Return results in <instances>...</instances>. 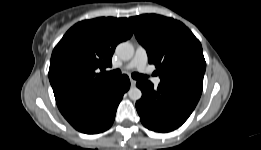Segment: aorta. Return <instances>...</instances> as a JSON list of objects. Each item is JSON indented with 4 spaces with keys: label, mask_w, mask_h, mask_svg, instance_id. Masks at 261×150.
<instances>
[{
    "label": "aorta",
    "mask_w": 261,
    "mask_h": 150,
    "mask_svg": "<svg viewBox=\"0 0 261 150\" xmlns=\"http://www.w3.org/2000/svg\"><path fill=\"white\" fill-rule=\"evenodd\" d=\"M116 54L122 60H130L134 55V47L129 42H122L116 47ZM128 96L131 100L137 101L142 97V92L137 87H131Z\"/></svg>",
    "instance_id": "aorta-1"
}]
</instances>
